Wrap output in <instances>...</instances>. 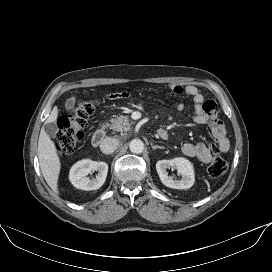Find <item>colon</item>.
<instances>
[{
  "label": "colon",
  "instance_id": "obj_1",
  "mask_svg": "<svg viewBox=\"0 0 272 272\" xmlns=\"http://www.w3.org/2000/svg\"><path fill=\"white\" fill-rule=\"evenodd\" d=\"M95 107L96 102L93 100L78 101L75 102L69 115L59 118L56 150L60 155H69L76 150L78 143L83 137V129ZM212 153L213 157L209 165V173L212 177H220L227 171L228 165L216 145H212Z\"/></svg>",
  "mask_w": 272,
  "mask_h": 272
}]
</instances>
